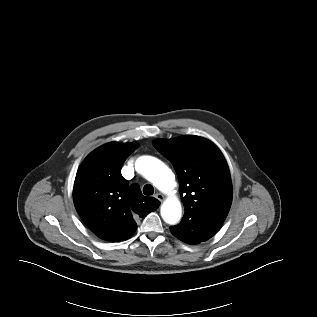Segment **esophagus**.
<instances>
[{
	"label": "esophagus",
	"instance_id": "esophagus-1",
	"mask_svg": "<svg viewBox=\"0 0 317 317\" xmlns=\"http://www.w3.org/2000/svg\"><path fill=\"white\" fill-rule=\"evenodd\" d=\"M156 199H158L159 201H163V199H164V196L162 195V194H160V193H156L155 194V196H154Z\"/></svg>",
	"mask_w": 317,
	"mask_h": 317
}]
</instances>
